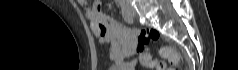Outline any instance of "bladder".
<instances>
[{"label": "bladder", "mask_w": 238, "mask_h": 70, "mask_svg": "<svg viewBox=\"0 0 238 70\" xmlns=\"http://www.w3.org/2000/svg\"><path fill=\"white\" fill-rule=\"evenodd\" d=\"M109 70H119V69H117L115 67H111V68H109Z\"/></svg>", "instance_id": "obj_1"}]
</instances>
